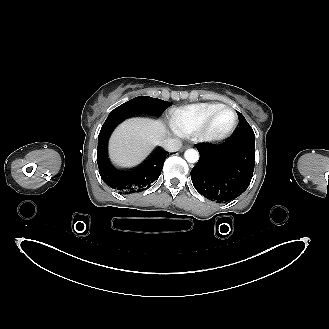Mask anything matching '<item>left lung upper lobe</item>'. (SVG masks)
<instances>
[{"label":"left lung upper lobe","instance_id":"obj_1","mask_svg":"<svg viewBox=\"0 0 329 329\" xmlns=\"http://www.w3.org/2000/svg\"><path fill=\"white\" fill-rule=\"evenodd\" d=\"M237 114H238V117H239V125H238V128L235 131L233 137H237V136H252V137H255L251 126L246 121L244 116L239 112H237Z\"/></svg>","mask_w":329,"mask_h":329}]
</instances>
